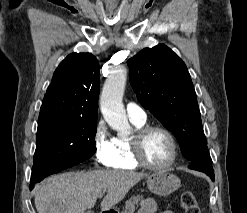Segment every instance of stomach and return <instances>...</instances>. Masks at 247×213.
I'll return each instance as SVG.
<instances>
[{"label": "stomach", "mask_w": 247, "mask_h": 213, "mask_svg": "<svg viewBox=\"0 0 247 213\" xmlns=\"http://www.w3.org/2000/svg\"><path fill=\"white\" fill-rule=\"evenodd\" d=\"M147 186L158 196H168L181 186V182L176 175L168 171H158L148 177Z\"/></svg>", "instance_id": "obj_1"}]
</instances>
